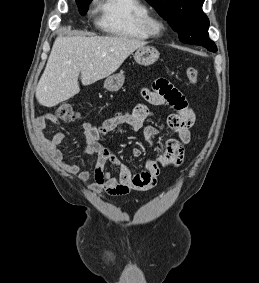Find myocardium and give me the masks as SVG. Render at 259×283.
I'll list each match as a JSON object with an SVG mask.
<instances>
[{
  "label": "myocardium",
  "mask_w": 259,
  "mask_h": 283,
  "mask_svg": "<svg viewBox=\"0 0 259 283\" xmlns=\"http://www.w3.org/2000/svg\"><path fill=\"white\" fill-rule=\"evenodd\" d=\"M146 28L153 37H162L167 29L165 20L158 14L150 13L146 19Z\"/></svg>",
  "instance_id": "1"
}]
</instances>
